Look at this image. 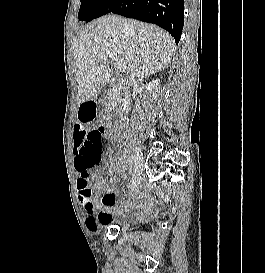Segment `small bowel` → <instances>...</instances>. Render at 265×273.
<instances>
[{"label": "small bowel", "instance_id": "obj_1", "mask_svg": "<svg viewBox=\"0 0 265 273\" xmlns=\"http://www.w3.org/2000/svg\"><path fill=\"white\" fill-rule=\"evenodd\" d=\"M94 103L83 102L80 104L78 111V124H74V167L78 175L77 192L79 204L86 216V227L90 232H96L102 227L108 226L113 221V209L120 211L122 208L117 207L116 196L113 193H106L103 195L97 194L104 187V180L100 177L99 172L92 173L89 171L85 176L79 168L78 155L76 150L77 135L76 129H89V124L94 123V114L97 110L94 108ZM112 166L115 169L121 170L123 173L128 172V168L121 169V162L118 159L112 160ZM85 180L89 186V181L93 180V191L85 192ZM90 188V187H89ZM133 189V188H132ZM134 190V189H133ZM142 203V196L135 195L124 208L132 209L139 207Z\"/></svg>", "mask_w": 265, "mask_h": 273}]
</instances>
